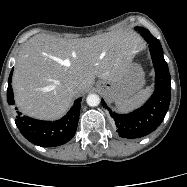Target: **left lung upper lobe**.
I'll list each match as a JSON object with an SVG mask.
<instances>
[{
	"instance_id": "5c2ea615",
	"label": "left lung upper lobe",
	"mask_w": 187,
	"mask_h": 187,
	"mask_svg": "<svg viewBox=\"0 0 187 187\" xmlns=\"http://www.w3.org/2000/svg\"><path fill=\"white\" fill-rule=\"evenodd\" d=\"M136 30L138 32H140L143 37H144V35H150L151 34L148 30L140 28V27H136Z\"/></svg>"
}]
</instances>
